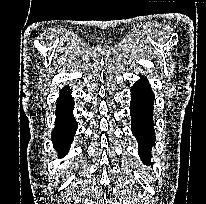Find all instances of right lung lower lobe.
<instances>
[{
    "label": "right lung lower lobe",
    "mask_w": 206,
    "mask_h": 204,
    "mask_svg": "<svg viewBox=\"0 0 206 204\" xmlns=\"http://www.w3.org/2000/svg\"><path fill=\"white\" fill-rule=\"evenodd\" d=\"M74 100L70 89H62L56 105L55 128L52 132V142L58 151L59 157L67 154L77 130V123L72 114Z\"/></svg>",
    "instance_id": "98d812e1"
}]
</instances>
